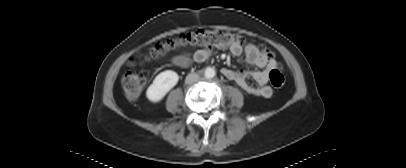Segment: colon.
Here are the masks:
<instances>
[{
	"label": "colon",
	"mask_w": 406,
	"mask_h": 168,
	"mask_svg": "<svg viewBox=\"0 0 406 168\" xmlns=\"http://www.w3.org/2000/svg\"><path fill=\"white\" fill-rule=\"evenodd\" d=\"M247 44V39L239 34H232L221 30H196L177 37L168 38L156 43L148 52V61L162 58L169 53L181 48L200 47L204 48H242ZM259 51L266 57L271 58L272 52L263 45H259ZM269 80L275 88L284 85L285 78L279 67L269 72ZM121 84L126 97L135 101L139 98L146 84L145 77L132 70V64L125 70Z\"/></svg>",
	"instance_id": "1"
}]
</instances>
